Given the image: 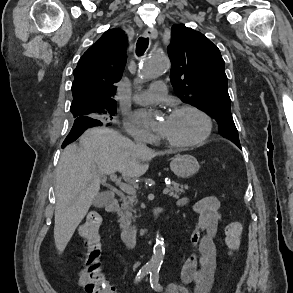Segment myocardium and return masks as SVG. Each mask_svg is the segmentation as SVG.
Returning a JSON list of instances; mask_svg holds the SVG:
<instances>
[{
	"mask_svg": "<svg viewBox=\"0 0 293 293\" xmlns=\"http://www.w3.org/2000/svg\"><path fill=\"white\" fill-rule=\"evenodd\" d=\"M183 111H191V112H194L197 115H199L202 118L204 125H205L204 131L200 137H198L197 139H195L193 141H189V142H176V141L162 138L164 144L169 147L189 148V147L199 146V145L203 144L204 142H206L212 134V131H213L212 119L206 112H204L202 109H200L194 105L182 104V105L176 106L171 111V114L179 113V112H183Z\"/></svg>",
	"mask_w": 293,
	"mask_h": 293,
	"instance_id": "f54148a6",
	"label": "myocardium"
}]
</instances>
